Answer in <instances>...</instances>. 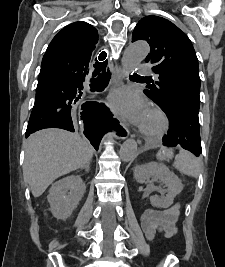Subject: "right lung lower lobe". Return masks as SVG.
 <instances>
[{
    "label": "right lung lower lobe",
    "mask_w": 225,
    "mask_h": 267,
    "mask_svg": "<svg viewBox=\"0 0 225 267\" xmlns=\"http://www.w3.org/2000/svg\"><path fill=\"white\" fill-rule=\"evenodd\" d=\"M104 67H98L86 53L70 50H47L41 64L36 88L35 105L28 122L26 137L44 128H62L74 132L72 113L82 94L88 74L96 76ZM108 75L93 80L91 91H101L107 85ZM80 94V95H79ZM85 120V119H84ZM107 107L92 105V120L86 123L84 133L95 149L108 125L114 123Z\"/></svg>",
    "instance_id": "obj_1"
}]
</instances>
